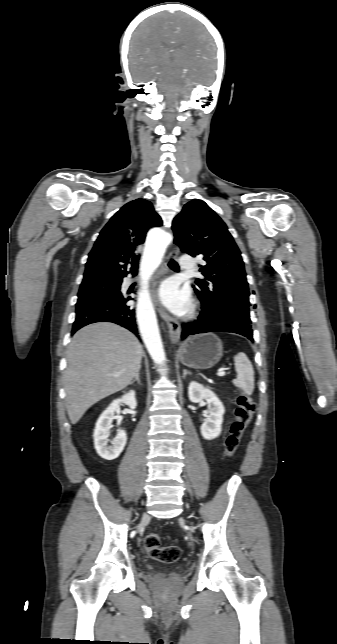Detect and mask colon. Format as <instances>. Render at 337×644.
Returning <instances> with one entry per match:
<instances>
[{
	"instance_id": "obj_1",
	"label": "colon",
	"mask_w": 337,
	"mask_h": 644,
	"mask_svg": "<svg viewBox=\"0 0 337 644\" xmlns=\"http://www.w3.org/2000/svg\"><path fill=\"white\" fill-rule=\"evenodd\" d=\"M255 402L246 393L240 392L237 397L235 418L232 422L229 434L225 440L224 455L231 457L236 452L244 429L250 422L255 412ZM160 535L156 532L149 533L144 539V548L148 555L162 563L170 564L179 560L181 549L176 545L160 546Z\"/></svg>"
}]
</instances>
